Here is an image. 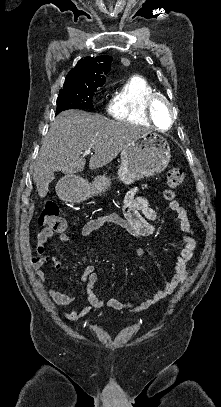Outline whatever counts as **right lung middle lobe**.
Here are the masks:
<instances>
[{"instance_id":"obj_1","label":"right lung middle lobe","mask_w":221,"mask_h":407,"mask_svg":"<svg viewBox=\"0 0 221 407\" xmlns=\"http://www.w3.org/2000/svg\"><path fill=\"white\" fill-rule=\"evenodd\" d=\"M97 89H64L57 98V113L67 109H92V98Z\"/></svg>"}]
</instances>
